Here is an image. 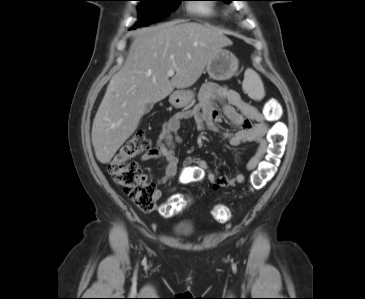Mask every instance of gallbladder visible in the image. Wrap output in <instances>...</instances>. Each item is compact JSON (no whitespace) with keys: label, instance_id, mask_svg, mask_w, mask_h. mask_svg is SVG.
Masks as SVG:
<instances>
[{"label":"gallbladder","instance_id":"obj_1","mask_svg":"<svg viewBox=\"0 0 365 299\" xmlns=\"http://www.w3.org/2000/svg\"><path fill=\"white\" fill-rule=\"evenodd\" d=\"M153 108V104L150 103V104H147L145 106V110H144V113H149L151 111V109Z\"/></svg>","mask_w":365,"mask_h":299}]
</instances>
